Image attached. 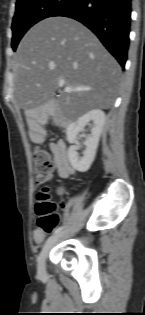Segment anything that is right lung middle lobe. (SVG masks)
I'll use <instances>...</instances> for the list:
<instances>
[{"mask_svg":"<svg viewBox=\"0 0 145 315\" xmlns=\"http://www.w3.org/2000/svg\"><path fill=\"white\" fill-rule=\"evenodd\" d=\"M70 0H18L12 22L13 50L26 31L37 22L51 17L56 11L66 5Z\"/></svg>","mask_w":145,"mask_h":315,"instance_id":"obj_1","label":"right lung middle lobe"}]
</instances>
